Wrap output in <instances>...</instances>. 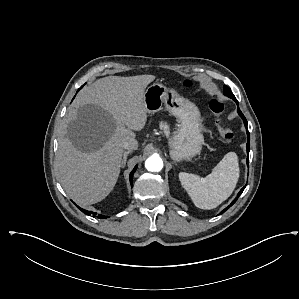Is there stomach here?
Here are the masks:
<instances>
[{"mask_svg":"<svg viewBox=\"0 0 299 299\" xmlns=\"http://www.w3.org/2000/svg\"><path fill=\"white\" fill-rule=\"evenodd\" d=\"M144 103L150 114L164 106L170 115L177 118L179 127L170 138V156L174 161L188 159L201 151L204 142L201 114L194 103L158 82L146 89Z\"/></svg>","mask_w":299,"mask_h":299,"instance_id":"stomach-1","label":"stomach"}]
</instances>
